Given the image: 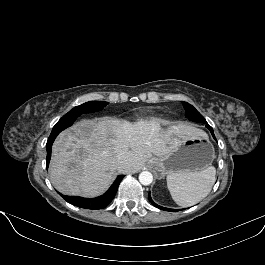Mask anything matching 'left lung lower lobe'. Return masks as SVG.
I'll list each match as a JSON object with an SVG mask.
<instances>
[{"instance_id": "1", "label": "left lung lower lobe", "mask_w": 265, "mask_h": 265, "mask_svg": "<svg viewBox=\"0 0 265 265\" xmlns=\"http://www.w3.org/2000/svg\"><path fill=\"white\" fill-rule=\"evenodd\" d=\"M205 124H206V127L210 130V132H211L213 138L216 140L212 127H211L207 122H205ZM148 198H149L150 202H151L155 207H157V208H159V209H162V210H165V211H174V212L178 211V210H176V209H168V208H164V207H161V206L157 205V204L154 203L153 200L151 199L150 193H149V195H148Z\"/></svg>"}]
</instances>
